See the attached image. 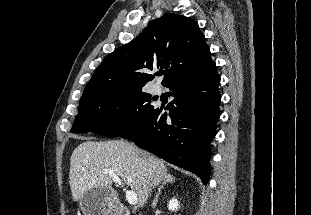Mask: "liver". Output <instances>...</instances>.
<instances>
[{
	"label": "liver",
	"instance_id": "6515ba94",
	"mask_svg": "<svg viewBox=\"0 0 311 215\" xmlns=\"http://www.w3.org/2000/svg\"><path fill=\"white\" fill-rule=\"evenodd\" d=\"M108 169L116 173L137 195L143 207L152 188L168 175L164 162L139 150L124 140L91 141L79 144L70 159L69 183L74 201L81 199L91 188H111L112 178L103 173ZM113 190V189H112ZM116 202L117 193L113 190Z\"/></svg>",
	"mask_w": 311,
	"mask_h": 215
}]
</instances>
